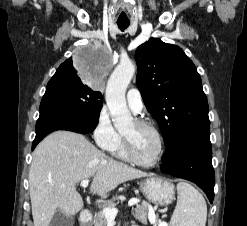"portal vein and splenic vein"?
<instances>
[{
    "mask_svg": "<svg viewBox=\"0 0 247 226\" xmlns=\"http://www.w3.org/2000/svg\"><path fill=\"white\" fill-rule=\"evenodd\" d=\"M89 181L88 180H83L80 183V186L82 188H86L88 186ZM139 202V199L137 198H132L128 201V206H133ZM152 210V209H151ZM103 214L107 220H114L116 215L118 214V209L117 208H104L103 209ZM160 226H167V223H162Z\"/></svg>",
    "mask_w": 247,
    "mask_h": 226,
    "instance_id": "18ae733b",
    "label": "portal vein and splenic vein"
}]
</instances>
